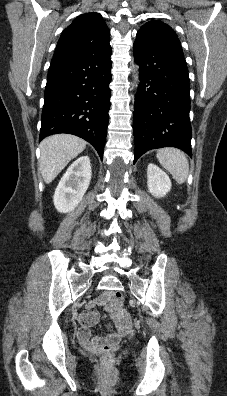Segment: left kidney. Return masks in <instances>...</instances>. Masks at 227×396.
I'll return each instance as SVG.
<instances>
[{
    "instance_id": "5707ae66",
    "label": "left kidney",
    "mask_w": 227,
    "mask_h": 396,
    "mask_svg": "<svg viewBox=\"0 0 227 396\" xmlns=\"http://www.w3.org/2000/svg\"><path fill=\"white\" fill-rule=\"evenodd\" d=\"M148 191L156 198L164 197L171 189L169 176L155 164L147 168Z\"/></svg>"
}]
</instances>
